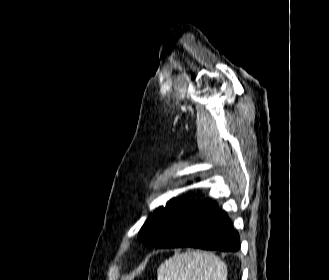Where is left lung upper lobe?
I'll use <instances>...</instances> for the list:
<instances>
[{
    "label": "left lung upper lobe",
    "instance_id": "left-lung-upper-lobe-1",
    "mask_svg": "<svg viewBox=\"0 0 329 280\" xmlns=\"http://www.w3.org/2000/svg\"><path fill=\"white\" fill-rule=\"evenodd\" d=\"M179 202L185 201L173 198L167 203L165 208L161 207L153 215H151L140 229L138 240L155 247L166 246L170 239L168 235L161 234L162 226L168 219L169 211L172 205Z\"/></svg>",
    "mask_w": 329,
    "mask_h": 280
}]
</instances>
